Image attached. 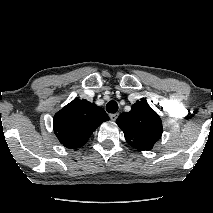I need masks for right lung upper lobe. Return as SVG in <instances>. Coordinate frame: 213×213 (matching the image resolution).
Listing matches in <instances>:
<instances>
[{
	"instance_id": "right-lung-upper-lobe-1",
	"label": "right lung upper lobe",
	"mask_w": 213,
	"mask_h": 213,
	"mask_svg": "<svg viewBox=\"0 0 213 213\" xmlns=\"http://www.w3.org/2000/svg\"><path fill=\"white\" fill-rule=\"evenodd\" d=\"M109 117L95 103L75 99L54 116V132L63 146L76 149L83 146L92 133Z\"/></svg>"
}]
</instances>
